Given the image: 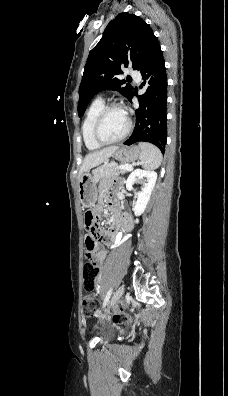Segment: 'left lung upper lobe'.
<instances>
[{
    "label": "left lung upper lobe",
    "instance_id": "5c2ea615",
    "mask_svg": "<svg viewBox=\"0 0 228 396\" xmlns=\"http://www.w3.org/2000/svg\"><path fill=\"white\" fill-rule=\"evenodd\" d=\"M156 37L141 18L119 13L107 25L99 43L90 51L79 88L78 114L81 117L91 98L101 90H118L130 98L133 87L117 78L121 66L140 70Z\"/></svg>",
    "mask_w": 228,
    "mask_h": 396
}]
</instances>
